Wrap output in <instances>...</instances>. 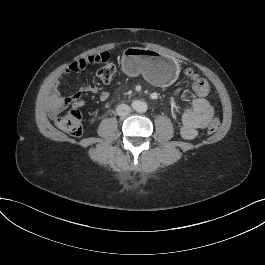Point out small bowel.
<instances>
[{
	"label": "small bowel",
	"instance_id": "1",
	"mask_svg": "<svg viewBox=\"0 0 265 265\" xmlns=\"http://www.w3.org/2000/svg\"><path fill=\"white\" fill-rule=\"evenodd\" d=\"M60 81L57 80L51 91L49 97V109L51 114L72 106L79 108L84 105V101L80 99L81 92L88 91L98 97L102 102L109 99V92L100 89L95 83H86L79 91L73 95L65 97L61 95L59 90ZM181 94V89L175 91L176 97ZM181 127L180 133L185 139H193L197 136L201 129H204L208 123L213 119L214 108L210 102L202 97L193 99L191 107H181Z\"/></svg>",
	"mask_w": 265,
	"mask_h": 265
}]
</instances>
